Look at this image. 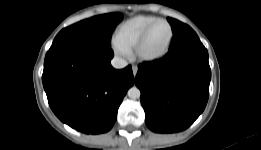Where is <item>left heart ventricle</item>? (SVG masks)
<instances>
[{
    "instance_id": "left-heart-ventricle-1",
    "label": "left heart ventricle",
    "mask_w": 261,
    "mask_h": 150,
    "mask_svg": "<svg viewBox=\"0 0 261 150\" xmlns=\"http://www.w3.org/2000/svg\"><path fill=\"white\" fill-rule=\"evenodd\" d=\"M169 38V27L167 24L160 22L156 24L145 43L144 51L147 54L154 55L164 50Z\"/></svg>"
}]
</instances>
